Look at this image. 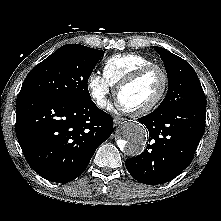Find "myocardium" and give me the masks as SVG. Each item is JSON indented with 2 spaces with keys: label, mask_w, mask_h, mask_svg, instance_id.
<instances>
[{
  "label": "myocardium",
  "mask_w": 221,
  "mask_h": 221,
  "mask_svg": "<svg viewBox=\"0 0 221 221\" xmlns=\"http://www.w3.org/2000/svg\"><path fill=\"white\" fill-rule=\"evenodd\" d=\"M153 70L159 71L162 76V80H163L161 91L157 95V97L153 101H151L149 104H146L141 107L128 108V107L123 106L119 101L120 93L126 87L134 84L139 79H141L143 76H145L147 73H149ZM168 87H169V77H168L166 70L158 64H150V65H146V66H143V67L137 69L136 71L131 73L129 76H127L126 78H124L123 80H121L117 84V86L115 88V100H116L118 107L121 110H123L124 112L129 113V114H133V115H137V116L143 115V114H146V113L154 110L155 108H157L160 105V103L164 100V98L167 94Z\"/></svg>",
  "instance_id": "1"
}]
</instances>
